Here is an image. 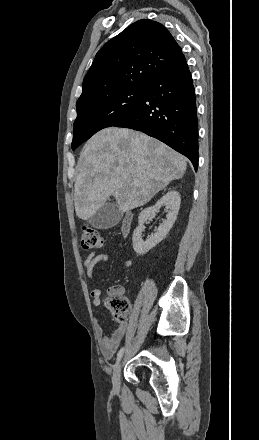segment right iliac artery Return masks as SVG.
<instances>
[{
	"label": "right iliac artery",
	"mask_w": 259,
	"mask_h": 440,
	"mask_svg": "<svg viewBox=\"0 0 259 440\" xmlns=\"http://www.w3.org/2000/svg\"><path fill=\"white\" fill-rule=\"evenodd\" d=\"M124 352V347H122L119 352L117 353V362L120 360Z\"/></svg>",
	"instance_id": "82829eb1"
}]
</instances>
